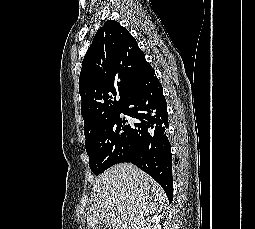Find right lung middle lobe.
<instances>
[{"instance_id":"dd1d6c3e","label":"right lung middle lobe","mask_w":255,"mask_h":229,"mask_svg":"<svg viewBox=\"0 0 255 229\" xmlns=\"http://www.w3.org/2000/svg\"><path fill=\"white\" fill-rule=\"evenodd\" d=\"M122 111L103 122L85 141L89 166L95 175L107 168L124 162L132 155V125L119 117Z\"/></svg>"}]
</instances>
